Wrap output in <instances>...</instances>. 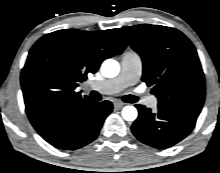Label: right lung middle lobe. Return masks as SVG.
I'll list each match as a JSON object with an SVG mask.
<instances>
[{"mask_svg": "<svg viewBox=\"0 0 220 173\" xmlns=\"http://www.w3.org/2000/svg\"><path fill=\"white\" fill-rule=\"evenodd\" d=\"M26 109H27V112H28V115H29L30 112L35 111L37 108L34 104H30V106L26 107Z\"/></svg>", "mask_w": 220, "mask_h": 173, "instance_id": "obj_1", "label": "right lung middle lobe"}]
</instances>
